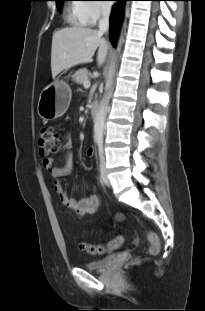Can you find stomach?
I'll return each mask as SVG.
<instances>
[{"mask_svg":"<svg viewBox=\"0 0 205 311\" xmlns=\"http://www.w3.org/2000/svg\"><path fill=\"white\" fill-rule=\"evenodd\" d=\"M71 90L63 81L55 80L45 87L38 101V114L44 120L61 117L68 109Z\"/></svg>","mask_w":205,"mask_h":311,"instance_id":"0dacf381","label":"stomach"}]
</instances>
